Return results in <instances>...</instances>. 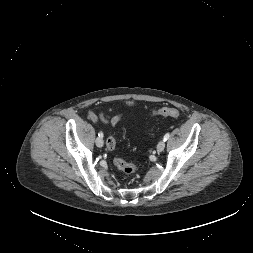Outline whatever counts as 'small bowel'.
I'll use <instances>...</instances> for the list:
<instances>
[{"label":"small bowel","instance_id":"obj_1","mask_svg":"<svg viewBox=\"0 0 253 253\" xmlns=\"http://www.w3.org/2000/svg\"><path fill=\"white\" fill-rule=\"evenodd\" d=\"M90 118L94 122H102L105 124H110L112 126H115L120 122L121 116L120 114H114V115H107L103 112H91Z\"/></svg>","mask_w":253,"mask_h":253}]
</instances>
